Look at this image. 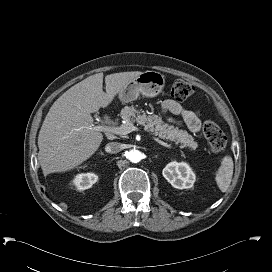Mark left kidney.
<instances>
[{
  "label": "left kidney",
  "instance_id": "obj_1",
  "mask_svg": "<svg viewBox=\"0 0 272 272\" xmlns=\"http://www.w3.org/2000/svg\"><path fill=\"white\" fill-rule=\"evenodd\" d=\"M162 174L177 189H189L196 180L194 172L186 162H170L163 169Z\"/></svg>",
  "mask_w": 272,
  "mask_h": 272
}]
</instances>
